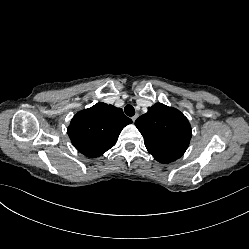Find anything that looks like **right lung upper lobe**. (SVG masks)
Masks as SVG:
<instances>
[{"label": "right lung upper lobe", "instance_id": "right-lung-upper-lobe-1", "mask_svg": "<svg viewBox=\"0 0 249 249\" xmlns=\"http://www.w3.org/2000/svg\"><path fill=\"white\" fill-rule=\"evenodd\" d=\"M130 123L132 120L121 108L97 103L72 118L68 135L79 152L95 158L112 148L122 129Z\"/></svg>", "mask_w": 249, "mask_h": 249}]
</instances>
